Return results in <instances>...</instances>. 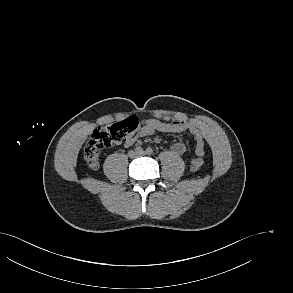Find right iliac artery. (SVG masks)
<instances>
[{"mask_svg": "<svg viewBox=\"0 0 293 293\" xmlns=\"http://www.w3.org/2000/svg\"><path fill=\"white\" fill-rule=\"evenodd\" d=\"M135 151H136L137 153H139V152L143 151V148H142L141 146H137V147L135 148Z\"/></svg>", "mask_w": 293, "mask_h": 293, "instance_id": "obj_1", "label": "right iliac artery"}]
</instances>
